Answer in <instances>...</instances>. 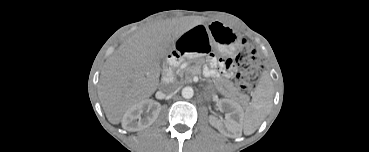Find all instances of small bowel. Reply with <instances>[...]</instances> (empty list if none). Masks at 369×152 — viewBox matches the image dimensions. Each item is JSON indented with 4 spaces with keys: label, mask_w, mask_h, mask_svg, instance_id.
I'll list each match as a JSON object with an SVG mask.
<instances>
[{
    "label": "small bowel",
    "mask_w": 369,
    "mask_h": 152,
    "mask_svg": "<svg viewBox=\"0 0 369 152\" xmlns=\"http://www.w3.org/2000/svg\"><path fill=\"white\" fill-rule=\"evenodd\" d=\"M206 73H207L208 75H213V74H214L213 70H210V69H208Z\"/></svg>",
    "instance_id": "c3829d8e"
}]
</instances>
